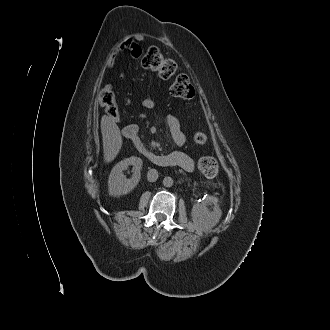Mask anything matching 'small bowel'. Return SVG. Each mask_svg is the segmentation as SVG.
<instances>
[{"label":"small bowel","instance_id":"c3829d8e","mask_svg":"<svg viewBox=\"0 0 330 330\" xmlns=\"http://www.w3.org/2000/svg\"><path fill=\"white\" fill-rule=\"evenodd\" d=\"M124 50H128L133 58H138L142 54V48L136 40H125L109 54L107 59L108 67H113L115 65L117 56ZM142 104L145 108L151 109L154 107L155 102L152 98L146 97L143 99ZM166 122L174 143L178 146H183L186 138L179 120L175 116L169 115ZM165 156L171 166L180 167L185 171H192L194 169L193 158L182 151H173Z\"/></svg>","mask_w":330,"mask_h":330}]
</instances>
